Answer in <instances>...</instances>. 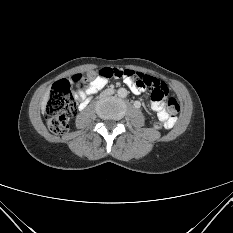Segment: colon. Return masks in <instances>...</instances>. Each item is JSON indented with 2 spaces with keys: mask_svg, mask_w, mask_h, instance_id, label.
I'll list each match as a JSON object with an SVG mask.
<instances>
[{
  "mask_svg": "<svg viewBox=\"0 0 233 233\" xmlns=\"http://www.w3.org/2000/svg\"><path fill=\"white\" fill-rule=\"evenodd\" d=\"M122 78L131 85L139 89H149L152 91V100L163 104L165 112L170 118L179 112V103L174 98H167V86L148 75H144L131 70L118 68H103L99 71H92L83 75H75L72 78V84L78 90L88 89L92 82L98 78ZM76 110V102L71 89V84L67 80L56 82L51 90L49 99L46 104V121L49 129L56 135H63L69 127V115ZM168 125L164 121L154 123L155 129H163Z\"/></svg>",
  "mask_w": 233,
  "mask_h": 233,
  "instance_id": "5ec220e1",
  "label": "colon"
}]
</instances>
